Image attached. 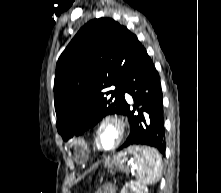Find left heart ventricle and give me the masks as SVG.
<instances>
[{"instance_id": "left-heart-ventricle-1", "label": "left heart ventricle", "mask_w": 221, "mask_h": 193, "mask_svg": "<svg viewBox=\"0 0 221 193\" xmlns=\"http://www.w3.org/2000/svg\"><path fill=\"white\" fill-rule=\"evenodd\" d=\"M117 139V131L116 128L108 124L102 128L99 135V142L101 147L110 148Z\"/></svg>"}]
</instances>
